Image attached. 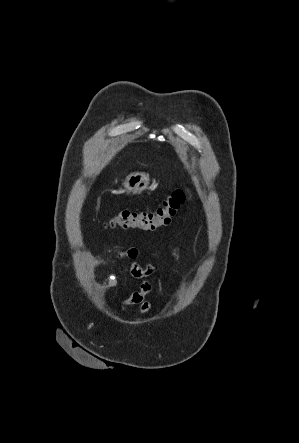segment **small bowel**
<instances>
[{
	"instance_id": "obj_1",
	"label": "small bowel",
	"mask_w": 299,
	"mask_h": 443,
	"mask_svg": "<svg viewBox=\"0 0 299 443\" xmlns=\"http://www.w3.org/2000/svg\"><path fill=\"white\" fill-rule=\"evenodd\" d=\"M172 254L178 260L180 258V249L177 245H172ZM118 258L129 259L130 263L124 268L123 272H129L133 278L141 280L138 290L132 292L129 297L123 300L122 306L137 305L140 314H145L152 309V303L146 300V296L151 292L152 285L147 278L154 272L153 265L141 266L136 259L139 256L137 247H130L118 253Z\"/></svg>"
}]
</instances>
